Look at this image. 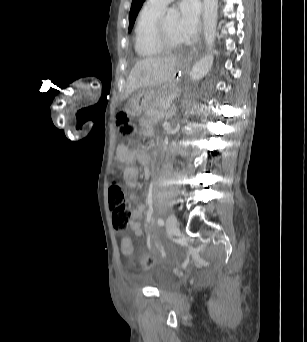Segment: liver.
<instances>
[{"mask_svg":"<svg viewBox=\"0 0 307 342\" xmlns=\"http://www.w3.org/2000/svg\"><path fill=\"white\" fill-rule=\"evenodd\" d=\"M176 56H156L144 58L133 66L125 84L122 98H128L132 92L139 88H155L168 82L176 66Z\"/></svg>","mask_w":307,"mask_h":342,"instance_id":"6515ba94","label":"liver"}]
</instances>
